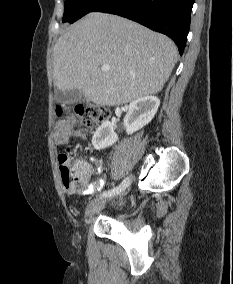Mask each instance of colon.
I'll return each instance as SVG.
<instances>
[{
	"instance_id": "obj_1",
	"label": "colon",
	"mask_w": 233,
	"mask_h": 284,
	"mask_svg": "<svg viewBox=\"0 0 233 284\" xmlns=\"http://www.w3.org/2000/svg\"><path fill=\"white\" fill-rule=\"evenodd\" d=\"M75 111L82 124L87 128H95L109 117L107 108L93 104H78ZM57 112L61 113V109H58ZM58 162L61 178L66 189L81 192L89 186V177L81 170L70 154H60Z\"/></svg>"
}]
</instances>
